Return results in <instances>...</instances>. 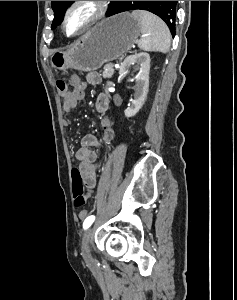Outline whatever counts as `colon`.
Instances as JSON below:
<instances>
[{
	"label": "colon",
	"mask_w": 237,
	"mask_h": 300,
	"mask_svg": "<svg viewBox=\"0 0 237 300\" xmlns=\"http://www.w3.org/2000/svg\"><path fill=\"white\" fill-rule=\"evenodd\" d=\"M57 87L61 93L68 91L67 85L63 80L57 81ZM72 92L76 97L82 98L85 92V85L79 84L73 87ZM72 192L75 205L77 207L83 206L86 201V198L84 196V180L78 168H73L72 170Z\"/></svg>",
	"instance_id": "1"
}]
</instances>
